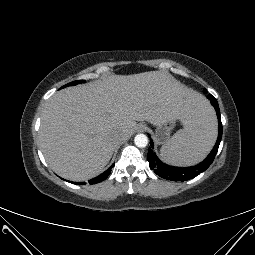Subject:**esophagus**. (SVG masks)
<instances>
[{
  "instance_id": "1",
  "label": "esophagus",
  "mask_w": 255,
  "mask_h": 255,
  "mask_svg": "<svg viewBox=\"0 0 255 255\" xmlns=\"http://www.w3.org/2000/svg\"><path fill=\"white\" fill-rule=\"evenodd\" d=\"M145 129V127L143 126V125H140L139 127H138V130L141 132V131H143Z\"/></svg>"
}]
</instances>
